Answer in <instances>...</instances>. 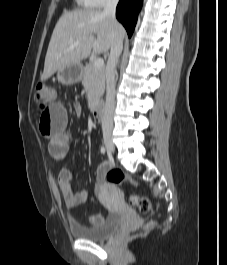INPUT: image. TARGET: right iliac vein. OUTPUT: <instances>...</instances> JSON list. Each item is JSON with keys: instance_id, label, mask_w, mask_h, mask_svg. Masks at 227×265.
Returning a JSON list of instances; mask_svg holds the SVG:
<instances>
[{"instance_id": "63e3f726", "label": "right iliac vein", "mask_w": 227, "mask_h": 265, "mask_svg": "<svg viewBox=\"0 0 227 265\" xmlns=\"http://www.w3.org/2000/svg\"><path fill=\"white\" fill-rule=\"evenodd\" d=\"M104 144L108 150L109 153L114 152V145L112 142V135L109 132H105L103 135Z\"/></svg>"}]
</instances>
